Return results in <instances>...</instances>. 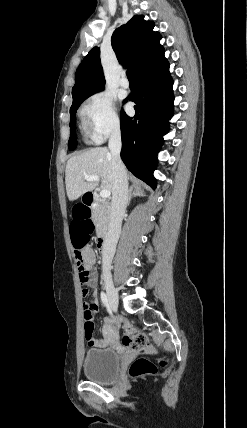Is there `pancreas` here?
<instances>
[{
	"instance_id": "1",
	"label": "pancreas",
	"mask_w": 247,
	"mask_h": 428,
	"mask_svg": "<svg viewBox=\"0 0 247 428\" xmlns=\"http://www.w3.org/2000/svg\"><path fill=\"white\" fill-rule=\"evenodd\" d=\"M97 230H106L109 225V209L105 203L99 202L93 207L92 214Z\"/></svg>"
}]
</instances>
